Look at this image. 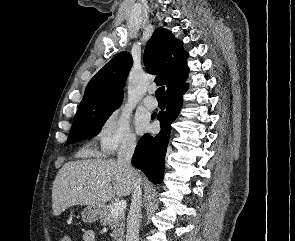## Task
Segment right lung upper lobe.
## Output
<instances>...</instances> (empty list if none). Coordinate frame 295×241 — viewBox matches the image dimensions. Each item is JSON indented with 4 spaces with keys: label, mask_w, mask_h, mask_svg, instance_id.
Listing matches in <instances>:
<instances>
[{
    "label": "right lung upper lobe",
    "mask_w": 295,
    "mask_h": 241,
    "mask_svg": "<svg viewBox=\"0 0 295 241\" xmlns=\"http://www.w3.org/2000/svg\"><path fill=\"white\" fill-rule=\"evenodd\" d=\"M182 42L165 28H158L148 41L144 52V64L150 74H157V84H164L167 92L184 85L188 69V53L183 50ZM132 66L131 55L121 52L110 60L89 81L79 108L103 105L122 101V86Z\"/></svg>",
    "instance_id": "obj_1"
}]
</instances>
